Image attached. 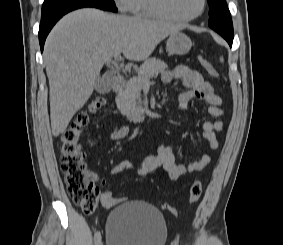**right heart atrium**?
Instances as JSON below:
<instances>
[{
    "label": "right heart atrium",
    "instance_id": "d8ad5b80",
    "mask_svg": "<svg viewBox=\"0 0 283 245\" xmlns=\"http://www.w3.org/2000/svg\"><path fill=\"white\" fill-rule=\"evenodd\" d=\"M121 12L130 11L132 0H113Z\"/></svg>",
    "mask_w": 283,
    "mask_h": 245
}]
</instances>
